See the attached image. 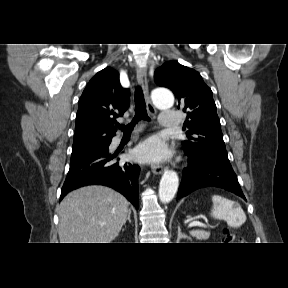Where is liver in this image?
<instances>
[{
    "label": "liver",
    "instance_id": "1",
    "mask_svg": "<svg viewBox=\"0 0 288 288\" xmlns=\"http://www.w3.org/2000/svg\"><path fill=\"white\" fill-rule=\"evenodd\" d=\"M128 205L123 195L108 187L70 192L59 207L60 243H111L126 222Z\"/></svg>",
    "mask_w": 288,
    "mask_h": 288
}]
</instances>
